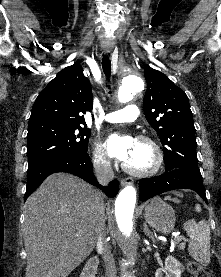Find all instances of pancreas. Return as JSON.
Instances as JSON below:
<instances>
[{
    "label": "pancreas",
    "mask_w": 221,
    "mask_h": 277,
    "mask_svg": "<svg viewBox=\"0 0 221 277\" xmlns=\"http://www.w3.org/2000/svg\"><path fill=\"white\" fill-rule=\"evenodd\" d=\"M180 249H184V244L180 245Z\"/></svg>",
    "instance_id": "obj_1"
}]
</instances>
